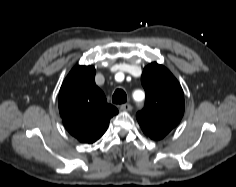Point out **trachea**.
I'll list each match as a JSON object with an SVG mask.
<instances>
[{
    "label": "trachea",
    "mask_w": 236,
    "mask_h": 187,
    "mask_svg": "<svg viewBox=\"0 0 236 187\" xmlns=\"http://www.w3.org/2000/svg\"><path fill=\"white\" fill-rule=\"evenodd\" d=\"M127 101V95L123 89H117L113 96H112V102L114 104H123Z\"/></svg>",
    "instance_id": "trachea-1"
}]
</instances>
